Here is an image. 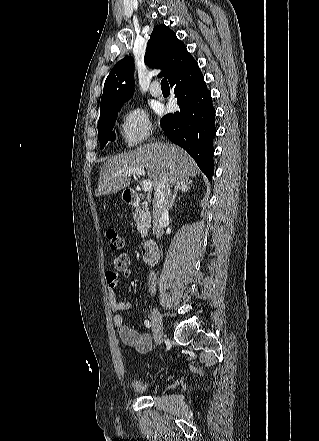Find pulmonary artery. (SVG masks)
<instances>
[{
  "instance_id": "1",
  "label": "pulmonary artery",
  "mask_w": 319,
  "mask_h": 441,
  "mask_svg": "<svg viewBox=\"0 0 319 441\" xmlns=\"http://www.w3.org/2000/svg\"><path fill=\"white\" fill-rule=\"evenodd\" d=\"M150 93L154 97H159L162 95L161 89L159 87H157L155 84L150 87Z\"/></svg>"
}]
</instances>
